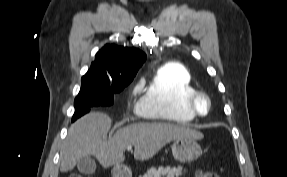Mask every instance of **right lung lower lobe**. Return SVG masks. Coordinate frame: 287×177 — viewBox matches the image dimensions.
<instances>
[{"label": "right lung lower lobe", "instance_id": "obj_1", "mask_svg": "<svg viewBox=\"0 0 287 177\" xmlns=\"http://www.w3.org/2000/svg\"><path fill=\"white\" fill-rule=\"evenodd\" d=\"M91 109V107H81L75 110V112H77L79 114V117L84 115L85 113L89 112V110Z\"/></svg>", "mask_w": 287, "mask_h": 177}]
</instances>
